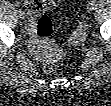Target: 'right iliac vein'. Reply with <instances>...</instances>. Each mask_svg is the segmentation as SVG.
<instances>
[{
    "mask_svg": "<svg viewBox=\"0 0 111 106\" xmlns=\"http://www.w3.org/2000/svg\"><path fill=\"white\" fill-rule=\"evenodd\" d=\"M18 16L20 19H24L25 18V13L23 11H18Z\"/></svg>",
    "mask_w": 111,
    "mask_h": 106,
    "instance_id": "63e3f726",
    "label": "right iliac vein"
}]
</instances>
